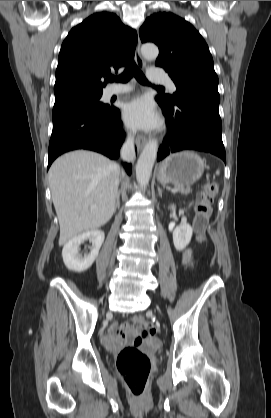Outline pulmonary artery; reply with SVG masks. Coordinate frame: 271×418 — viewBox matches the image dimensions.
<instances>
[{"instance_id":"obj_1","label":"pulmonary artery","mask_w":271,"mask_h":418,"mask_svg":"<svg viewBox=\"0 0 271 418\" xmlns=\"http://www.w3.org/2000/svg\"><path fill=\"white\" fill-rule=\"evenodd\" d=\"M148 78H149L150 81H152L154 83L167 85L171 92H174L176 90V87H175L174 83L170 80V78L168 76H166L165 74L161 73L157 69H150L148 71ZM129 91H130V88L126 87V86L113 87V88H110L107 91V95L108 96L122 95L124 93L129 92Z\"/></svg>"}]
</instances>
